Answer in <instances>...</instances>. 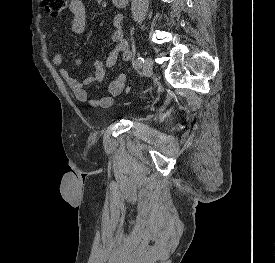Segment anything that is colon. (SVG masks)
<instances>
[{
  "label": "colon",
  "instance_id": "1",
  "mask_svg": "<svg viewBox=\"0 0 275 263\" xmlns=\"http://www.w3.org/2000/svg\"><path fill=\"white\" fill-rule=\"evenodd\" d=\"M68 0H43V6L47 13L58 15L67 7Z\"/></svg>",
  "mask_w": 275,
  "mask_h": 263
}]
</instances>
